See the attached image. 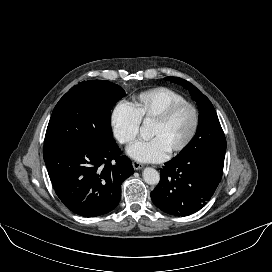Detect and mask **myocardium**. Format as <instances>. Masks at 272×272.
I'll use <instances>...</instances> for the list:
<instances>
[{
	"label": "myocardium",
	"instance_id": "1",
	"mask_svg": "<svg viewBox=\"0 0 272 272\" xmlns=\"http://www.w3.org/2000/svg\"><path fill=\"white\" fill-rule=\"evenodd\" d=\"M185 108L189 109L193 115L192 128L186 139L180 145L176 146L175 148L168 152L170 156H174L180 153L181 151L185 150L196 137L200 126L199 111L194 104L184 101L172 104L171 106L166 108L163 112H161L159 115L152 119V122L154 123L164 124L168 122L178 111Z\"/></svg>",
	"mask_w": 272,
	"mask_h": 272
}]
</instances>
